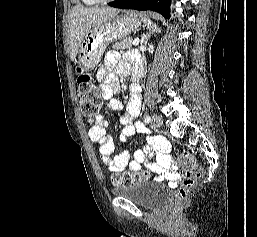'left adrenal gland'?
Here are the masks:
<instances>
[{
    "instance_id": "obj_1",
    "label": "left adrenal gland",
    "mask_w": 257,
    "mask_h": 237,
    "mask_svg": "<svg viewBox=\"0 0 257 237\" xmlns=\"http://www.w3.org/2000/svg\"><path fill=\"white\" fill-rule=\"evenodd\" d=\"M157 31H159V28L157 27V25H153L152 29H150V31L148 33L143 34L141 42L146 45L151 34H153L154 32H157Z\"/></svg>"
}]
</instances>
